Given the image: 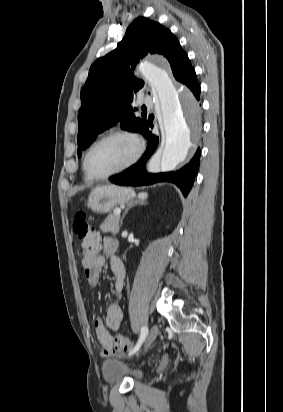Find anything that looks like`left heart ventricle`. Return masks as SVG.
Returning <instances> with one entry per match:
<instances>
[{
    "label": "left heart ventricle",
    "instance_id": "obj_1",
    "mask_svg": "<svg viewBox=\"0 0 283 412\" xmlns=\"http://www.w3.org/2000/svg\"><path fill=\"white\" fill-rule=\"evenodd\" d=\"M135 153L133 141L117 136L101 142L91 152L88 160L90 170L103 175L126 164Z\"/></svg>",
    "mask_w": 283,
    "mask_h": 412
}]
</instances>
